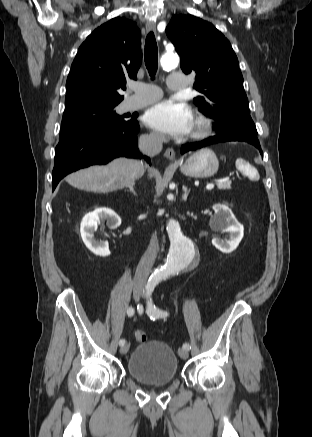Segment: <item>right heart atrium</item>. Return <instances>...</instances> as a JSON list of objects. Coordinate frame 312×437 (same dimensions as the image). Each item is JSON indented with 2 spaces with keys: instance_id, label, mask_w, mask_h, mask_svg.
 Here are the masks:
<instances>
[{
  "instance_id": "1",
  "label": "right heart atrium",
  "mask_w": 312,
  "mask_h": 437,
  "mask_svg": "<svg viewBox=\"0 0 312 437\" xmlns=\"http://www.w3.org/2000/svg\"><path fill=\"white\" fill-rule=\"evenodd\" d=\"M153 140H156V139H158V136L156 135V134H151V136H150Z\"/></svg>"
}]
</instances>
